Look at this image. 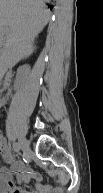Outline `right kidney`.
<instances>
[{"mask_svg": "<svg viewBox=\"0 0 103 193\" xmlns=\"http://www.w3.org/2000/svg\"><path fill=\"white\" fill-rule=\"evenodd\" d=\"M25 69H27V67H23V68H21V69H20V73L24 72V71H25Z\"/></svg>", "mask_w": 103, "mask_h": 193, "instance_id": "right-kidney-1", "label": "right kidney"}]
</instances>
